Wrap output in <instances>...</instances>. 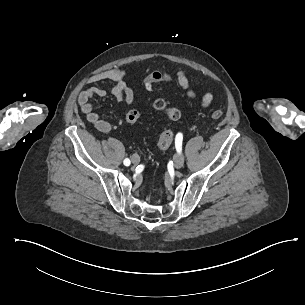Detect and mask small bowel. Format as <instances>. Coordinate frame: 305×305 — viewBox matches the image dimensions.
I'll return each mask as SVG.
<instances>
[{
    "instance_id": "obj_1",
    "label": "small bowel",
    "mask_w": 305,
    "mask_h": 305,
    "mask_svg": "<svg viewBox=\"0 0 305 305\" xmlns=\"http://www.w3.org/2000/svg\"><path fill=\"white\" fill-rule=\"evenodd\" d=\"M182 74H186L184 71H180ZM127 74L121 68H112L106 71L97 73L91 77L92 82H101L110 80L114 83L112 94L118 102L130 107L134 103L135 94L133 89L128 86L126 82ZM106 95V91L100 87H91L83 91L78 97V105L85 116L86 120L98 131L108 133L112 129L111 122L100 115L94 110L92 100L94 98H101ZM190 98H195L196 93L193 89L187 92ZM213 100V95L210 92L205 93L201 99V107L206 108Z\"/></svg>"
}]
</instances>
